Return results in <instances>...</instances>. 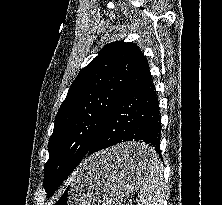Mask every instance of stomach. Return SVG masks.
<instances>
[{
	"instance_id": "1",
	"label": "stomach",
	"mask_w": 222,
	"mask_h": 205,
	"mask_svg": "<svg viewBox=\"0 0 222 205\" xmlns=\"http://www.w3.org/2000/svg\"><path fill=\"white\" fill-rule=\"evenodd\" d=\"M137 150L152 152L146 144L131 142L90 156L50 205H121L140 188L150 170L151 163L136 166L123 161L126 153Z\"/></svg>"
}]
</instances>
